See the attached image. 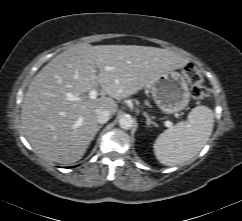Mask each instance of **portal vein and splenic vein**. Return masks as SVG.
<instances>
[{"label":"portal vein and splenic vein","mask_w":242,"mask_h":221,"mask_svg":"<svg viewBox=\"0 0 242 221\" xmlns=\"http://www.w3.org/2000/svg\"><path fill=\"white\" fill-rule=\"evenodd\" d=\"M89 98L90 99H96L97 98V95H98V91L96 90V89H93V90H91L90 92H89ZM69 99L70 100H78V98L77 97H75V96H73V95H70L69 96ZM165 125L167 126V127H171L172 126V122H170V121H166L165 122Z\"/></svg>","instance_id":"18ae733b"}]
</instances>
